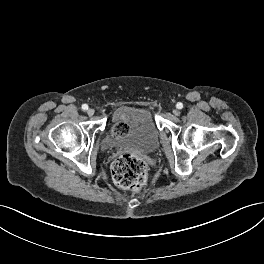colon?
Instances as JSON below:
<instances>
[{"label":"colon","instance_id":"5ec220e1","mask_svg":"<svg viewBox=\"0 0 264 264\" xmlns=\"http://www.w3.org/2000/svg\"><path fill=\"white\" fill-rule=\"evenodd\" d=\"M126 125L121 123L116 132L123 133ZM114 183L123 190H138L148 179L147 165L143 159L133 154H123L117 157L111 167Z\"/></svg>","mask_w":264,"mask_h":264}]
</instances>
